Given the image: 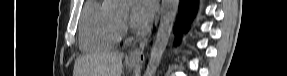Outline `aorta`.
Segmentation results:
<instances>
[{"label": "aorta", "instance_id": "obj_1", "mask_svg": "<svg viewBox=\"0 0 287 76\" xmlns=\"http://www.w3.org/2000/svg\"><path fill=\"white\" fill-rule=\"evenodd\" d=\"M178 7L179 0H162L160 23L144 76H154L160 65L172 33Z\"/></svg>", "mask_w": 287, "mask_h": 76}]
</instances>
